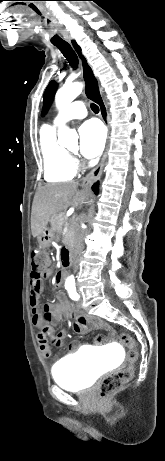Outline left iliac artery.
<instances>
[{
  "label": "left iliac artery",
  "instance_id": "obj_1",
  "mask_svg": "<svg viewBox=\"0 0 165 461\" xmlns=\"http://www.w3.org/2000/svg\"><path fill=\"white\" fill-rule=\"evenodd\" d=\"M66 289L68 290V293H69V296H70L71 299H73V300H78L79 299V295L76 292L75 286L69 287V288H66Z\"/></svg>",
  "mask_w": 165,
  "mask_h": 461
}]
</instances>
